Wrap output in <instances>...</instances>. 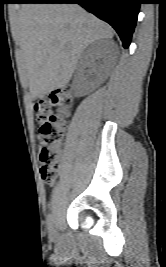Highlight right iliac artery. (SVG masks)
<instances>
[{
  "label": "right iliac artery",
  "instance_id": "obj_1",
  "mask_svg": "<svg viewBox=\"0 0 166 267\" xmlns=\"http://www.w3.org/2000/svg\"><path fill=\"white\" fill-rule=\"evenodd\" d=\"M53 221H54L53 215L49 214L47 216V227H48V229L52 227Z\"/></svg>",
  "mask_w": 166,
  "mask_h": 267
}]
</instances>
